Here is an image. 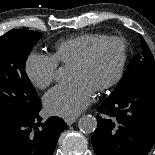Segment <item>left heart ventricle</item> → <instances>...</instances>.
Masks as SVG:
<instances>
[{
  "instance_id": "obj_1",
  "label": "left heart ventricle",
  "mask_w": 155,
  "mask_h": 155,
  "mask_svg": "<svg viewBox=\"0 0 155 155\" xmlns=\"http://www.w3.org/2000/svg\"><path fill=\"white\" fill-rule=\"evenodd\" d=\"M121 59V47L116 42L101 45L91 61L83 67L71 68V80L82 81L94 91L116 73Z\"/></svg>"
}]
</instances>
